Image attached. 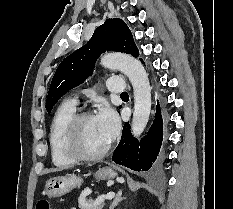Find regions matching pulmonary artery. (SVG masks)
<instances>
[{"mask_svg":"<svg viewBox=\"0 0 233 209\" xmlns=\"http://www.w3.org/2000/svg\"><path fill=\"white\" fill-rule=\"evenodd\" d=\"M107 87L110 91L116 93H122L125 91L123 80L117 76H110L107 78ZM70 102L76 105L77 99H72Z\"/></svg>","mask_w":233,"mask_h":209,"instance_id":"pulmonary-artery-1","label":"pulmonary artery"}]
</instances>
